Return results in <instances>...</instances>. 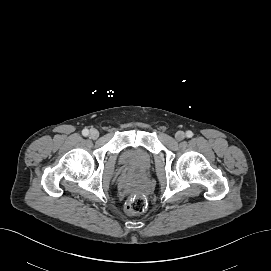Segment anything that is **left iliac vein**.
Returning a JSON list of instances; mask_svg holds the SVG:
<instances>
[{"mask_svg": "<svg viewBox=\"0 0 271 271\" xmlns=\"http://www.w3.org/2000/svg\"><path fill=\"white\" fill-rule=\"evenodd\" d=\"M185 138V133L183 131H178L175 134V139L177 141H182Z\"/></svg>", "mask_w": 271, "mask_h": 271, "instance_id": "4c4485c4", "label": "left iliac vein"}]
</instances>
